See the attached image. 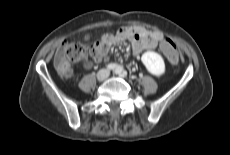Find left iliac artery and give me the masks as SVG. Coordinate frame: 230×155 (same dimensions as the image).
<instances>
[{
  "mask_svg": "<svg viewBox=\"0 0 230 155\" xmlns=\"http://www.w3.org/2000/svg\"><path fill=\"white\" fill-rule=\"evenodd\" d=\"M115 73L119 75H125L126 72L121 66H117V68L115 69Z\"/></svg>",
  "mask_w": 230,
  "mask_h": 155,
  "instance_id": "44dca946",
  "label": "left iliac artery"
}]
</instances>
